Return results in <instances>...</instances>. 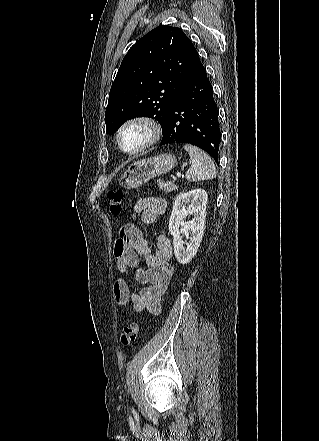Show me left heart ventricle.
I'll return each mask as SVG.
<instances>
[{
	"label": "left heart ventricle",
	"mask_w": 319,
	"mask_h": 441,
	"mask_svg": "<svg viewBox=\"0 0 319 441\" xmlns=\"http://www.w3.org/2000/svg\"><path fill=\"white\" fill-rule=\"evenodd\" d=\"M146 138V131L139 126L128 129L122 137L125 148L133 149L144 142Z\"/></svg>",
	"instance_id": "b2bd125f"
}]
</instances>
